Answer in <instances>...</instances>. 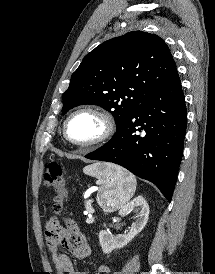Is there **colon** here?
<instances>
[{"mask_svg":"<svg viewBox=\"0 0 215 274\" xmlns=\"http://www.w3.org/2000/svg\"><path fill=\"white\" fill-rule=\"evenodd\" d=\"M45 168L44 185L55 190L54 210L60 212L67 197L62 166L59 162L50 160Z\"/></svg>","mask_w":215,"mask_h":274,"instance_id":"1","label":"colon"}]
</instances>
